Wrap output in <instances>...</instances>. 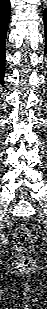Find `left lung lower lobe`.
I'll list each match as a JSON object with an SVG mask.
<instances>
[{"mask_svg":"<svg viewBox=\"0 0 47 309\" xmlns=\"http://www.w3.org/2000/svg\"><path fill=\"white\" fill-rule=\"evenodd\" d=\"M44 26H45V34H46V48H45V53L47 52V8L45 9L44 12Z\"/></svg>","mask_w":47,"mask_h":309,"instance_id":"obj_1","label":"left lung lower lobe"}]
</instances>
